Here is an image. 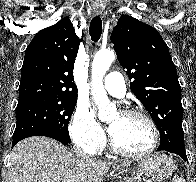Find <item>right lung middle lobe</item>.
Returning a JSON list of instances; mask_svg holds the SVG:
<instances>
[{
  "instance_id": "obj_1",
  "label": "right lung middle lobe",
  "mask_w": 196,
  "mask_h": 182,
  "mask_svg": "<svg viewBox=\"0 0 196 182\" xmlns=\"http://www.w3.org/2000/svg\"><path fill=\"white\" fill-rule=\"evenodd\" d=\"M77 98L35 100L16 107L13 140L35 132H52L71 142L68 123Z\"/></svg>"
}]
</instances>
